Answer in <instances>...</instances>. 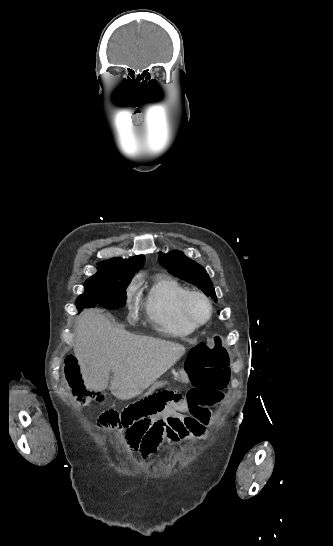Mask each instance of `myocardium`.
<instances>
[{
  "label": "myocardium",
  "mask_w": 333,
  "mask_h": 546,
  "mask_svg": "<svg viewBox=\"0 0 333 546\" xmlns=\"http://www.w3.org/2000/svg\"><path fill=\"white\" fill-rule=\"evenodd\" d=\"M202 302L207 307V315L204 319L197 318L193 313V305L195 302ZM181 309L185 319L195 327L205 325L212 317L213 306L210 299L202 292L188 290L181 302Z\"/></svg>",
  "instance_id": "myocardium-1"
}]
</instances>
